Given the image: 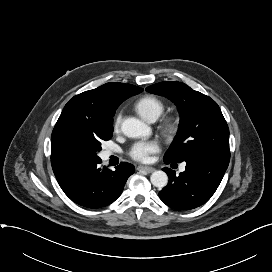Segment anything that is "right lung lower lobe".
Here are the masks:
<instances>
[{"mask_svg":"<svg viewBox=\"0 0 272 272\" xmlns=\"http://www.w3.org/2000/svg\"><path fill=\"white\" fill-rule=\"evenodd\" d=\"M101 159L76 165L56 178L64 193L75 203L87 208L104 207L115 201L135 171L122 162L115 171L100 167Z\"/></svg>","mask_w":272,"mask_h":272,"instance_id":"1","label":"right lung lower lobe"}]
</instances>
